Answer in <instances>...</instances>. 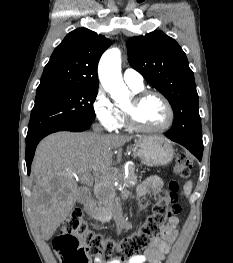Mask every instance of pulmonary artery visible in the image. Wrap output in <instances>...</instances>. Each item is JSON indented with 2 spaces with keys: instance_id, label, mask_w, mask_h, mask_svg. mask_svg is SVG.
<instances>
[{
  "instance_id": "e3ab8cb5",
  "label": "pulmonary artery",
  "mask_w": 233,
  "mask_h": 263,
  "mask_svg": "<svg viewBox=\"0 0 233 263\" xmlns=\"http://www.w3.org/2000/svg\"><path fill=\"white\" fill-rule=\"evenodd\" d=\"M123 79L129 87L142 88L143 87V77L135 69L127 68L123 73Z\"/></svg>"
}]
</instances>
